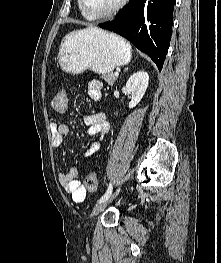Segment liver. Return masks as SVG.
Masks as SVG:
<instances>
[{"mask_svg":"<svg viewBox=\"0 0 221 263\" xmlns=\"http://www.w3.org/2000/svg\"><path fill=\"white\" fill-rule=\"evenodd\" d=\"M87 29H89V30H91V31H97V30H98L97 28H94V27H89V28H87Z\"/></svg>","mask_w":221,"mask_h":263,"instance_id":"obj_1","label":"liver"}]
</instances>
